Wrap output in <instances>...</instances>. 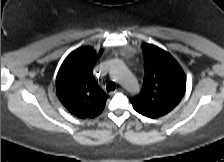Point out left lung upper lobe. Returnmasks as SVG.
Listing matches in <instances>:
<instances>
[{
  "instance_id": "obj_1",
  "label": "left lung upper lobe",
  "mask_w": 224,
  "mask_h": 162,
  "mask_svg": "<svg viewBox=\"0 0 224 162\" xmlns=\"http://www.w3.org/2000/svg\"><path fill=\"white\" fill-rule=\"evenodd\" d=\"M145 78L141 93L130 99L134 109L149 118L170 112L181 101L186 80L178 62L165 50L142 44Z\"/></svg>"
}]
</instances>
